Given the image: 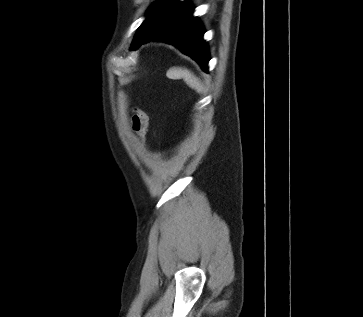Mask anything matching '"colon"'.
<instances>
[{
  "label": "colon",
  "instance_id": "5ec220e1",
  "mask_svg": "<svg viewBox=\"0 0 363 317\" xmlns=\"http://www.w3.org/2000/svg\"><path fill=\"white\" fill-rule=\"evenodd\" d=\"M132 129L140 138H144L147 129V115L142 109H134L132 115Z\"/></svg>",
  "mask_w": 363,
  "mask_h": 317
}]
</instances>
